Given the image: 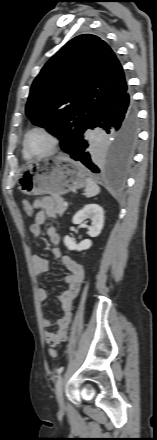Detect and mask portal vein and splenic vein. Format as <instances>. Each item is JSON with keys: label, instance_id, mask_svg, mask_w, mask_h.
Here are the masks:
<instances>
[{"label": "portal vein and splenic vein", "instance_id": "portal-vein-and-splenic-vein-1", "mask_svg": "<svg viewBox=\"0 0 157 440\" xmlns=\"http://www.w3.org/2000/svg\"><path fill=\"white\" fill-rule=\"evenodd\" d=\"M64 206H68V203H67V202H64Z\"/></svg>", "mask_w": 157, "mask_h": 440}]
</instances>
